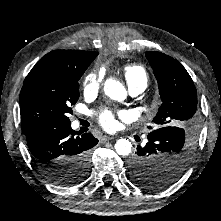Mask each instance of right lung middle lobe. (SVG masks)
I'll use <instances>...</instances> for the list:
<instances>
[{"instance_id":"right-lung-middle-lobe-1","label":"right lung middle lobe","mask_w":221,"mask_h":221,"mask_svg":"<svg viewBox=\"0 0 221 221\" xmlns=\"http://www.w3.org/2000/svg\"><path fill=\"white\" fill-rule=\"evenodd\" d=\"M93 60L74 67L46 72L25 79L20 92V113L23 132L51 123L69 124L71 105L79 98V79ZM90 156L87 158L89 160ZM86 158L69 159L63 167L65 181L51 180L56 184L83 180L89 169Z\"/></svg>"}]
</instances>
